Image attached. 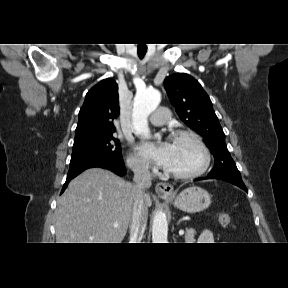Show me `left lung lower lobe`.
<instances>
[{
    "label": "left lung lower lobe",
    "mask_w": 288,
    "mask_h": 288,
    "mask_svg": "<svg viewBox=\"0 0 288 288\" xmlns=\"http://www.w3.org/2000/svg\"><path fill=\"white\" fill-rule=\"evenodd\" d=\"M203 179H221V180L230 182V183L240 187L241 189L245 190L246 192H248V190H247L246 186L244 185L243 181H236V180L225 179V178H213V177H211L209 175L207 177H204V178H197V179H195V181L203 180Z\"/></svg>",
    "instance_id": "obj_1"
}]
</instances>
